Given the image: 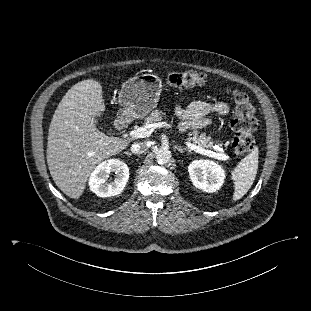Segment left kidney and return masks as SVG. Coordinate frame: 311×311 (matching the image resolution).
Returning a JSON list of instances; mask_svg holds the SVG:
<instances>
[{
  "instance_id": "1",
  "label": "left kidney",
  "mask_w": 311,
  "mask_h": 311,
  "mask_svg": "<svg viewBox=\"0 0 311 311\" xmlns=\"http://www.w3.org/2000/svg\"><path fill=\"white\" fill-rule=\"evenodd\" d=\"M188 172L194 186L208 193L221 188L225 179V172L220 165L209 160H195Z\"/></svg>"
}]
</instances>
